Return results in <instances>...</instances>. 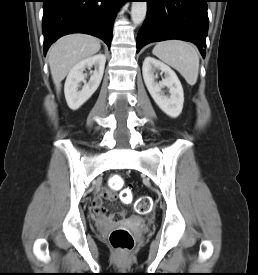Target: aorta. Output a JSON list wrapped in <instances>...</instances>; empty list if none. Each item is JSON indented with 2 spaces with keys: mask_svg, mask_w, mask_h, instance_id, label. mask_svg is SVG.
<instances>
[{
  "mask_svg": "<svg viewBox=\"0 0 258 275\" xmlns=\"http://www.w3.org/2000/svg\"><path fill=\"white\" fill-rule=\"evenodd\" d=\"M147 12V3L146 2H133L131 8V19L135 25L141 24Z\"/></svg>",
  "mask_w": 258,
  "mask_h": 275,
  "instance_id": "762f6f07",
  "label": "aorta"
}]
</instances>
